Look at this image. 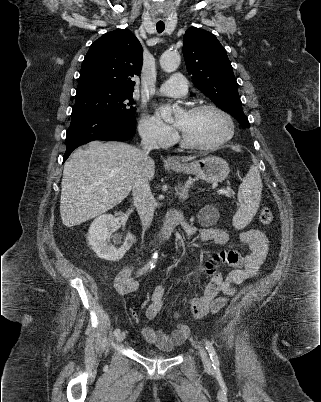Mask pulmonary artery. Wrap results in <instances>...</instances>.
Here are the masks:
<instances>
[{
  "mask_svg": "<svg viewBox=\"0 0 321 402\" xmlns=\"http://www.w3.org/2000/svg\"><path fill=\"white\" fill-rule=\"evenodd\" d=\"M187 92V82L182 74L176 73L160 85L156 93L173 97L184 96Z\"/></svg>",
  "mask_w": 321,
  "mask_h": 402,
  "instance_id": "1",
  "label": "pulmonary artery"
}]
</instances>
